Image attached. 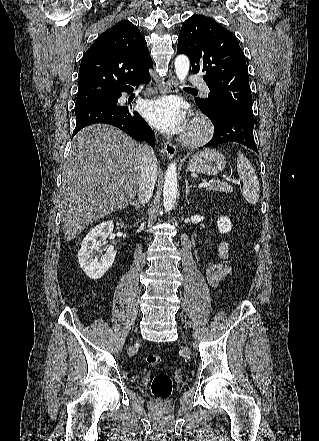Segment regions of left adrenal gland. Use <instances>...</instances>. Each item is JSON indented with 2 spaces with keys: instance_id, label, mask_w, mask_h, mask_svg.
I'll return each mask as SVG.
<instances>
[{
  "instance_id": "a2214340",
  "label": "left adrenal gland",
  "mask_w": 319,
  "mask_h": 441,
  "mask_svg": "<svg viewBox=\"0 0 319 441\" xmlns=\"http://www.w3.org/2000/svg\"><path fill=\"white\" fill-rule=\"evenodd\" d=\"M185 184H186V192H185V198L187 199L190 189L194 188V185H189L188 180L185 179Z\"/></svg>"
}]
</instances>
